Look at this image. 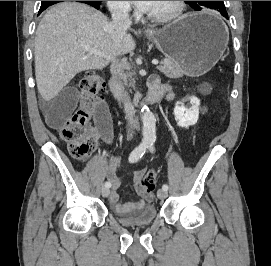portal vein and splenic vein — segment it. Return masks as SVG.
I'll use <instances>...</instances> for the list:
<instances>
[{"mask_svg":"<svg viewBox=\"0 0 271 266\" xmlns=\"http://www.w3.org/2000/svg\"><path fill=\"white\" fill-rule=\"evenodd\" d=\"M83 48L86 51H88L89 53H91V54H95V55H98L100 57H105L106 56L102 51H99L96 48L89 47V46H83ZM108 58L111 59V57H108ZM152 64L156 66V65L159 64V61L158 60H152Z\"/></svg>","mask_w":271,"mask_h":266,"instance_id":"portal-vein-and-splenic-vein-1","label":"portal vein and splenic vein"}]
</instances>
